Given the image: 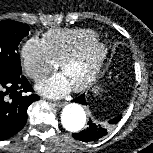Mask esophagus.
<instances>
[{"instance_id":"34e87169","label":"esophagus","mask_w":153,"mask_h":153,"mask_svg":"<svg viewBox=\"0 0 153 153\" xmlns=\"http://www.w3.org/2000/svg\"><path fill=\"white\" fill-rule=\"evenodd\" d=\"M52 104H53L54 106H56V107H59V108H61V107H63V106L65 105L64 102H53Z\"/></svg>"}]
</instances>
